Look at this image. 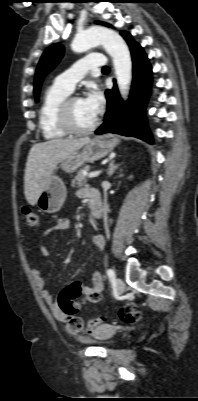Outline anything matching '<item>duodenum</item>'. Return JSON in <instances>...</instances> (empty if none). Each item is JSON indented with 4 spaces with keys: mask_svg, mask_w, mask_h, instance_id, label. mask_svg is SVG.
Wrapping results in <instances>:
<instances>
[{
    "mask_svg": "<svg viewBox=\"0 0 198 401\" xmlns=\"http://www.w3.org/2000/svg\"><path fill=\"white\" fill-rule=\"evenodd\" d=\"M91 201V215L90 222H96L102 215L103 206L99 193H93L89 196Z\"/></svg>",
    "mask_w": 198,
    "mask_h": 401,
    "instance_id": "obj_1",
    "label": "duodenum"
}]
</instances>
